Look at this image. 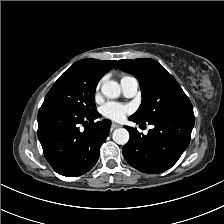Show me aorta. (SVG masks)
I'll return each instance as SVG.
<instances>
[{"instance_id":"aorta-1","label":"aorta","mask_w":224,"mask_h":224,"mask_svg":"<svg viewBox=\"0 0 224 224\" xmlns=\"http://www.w3.org/2000/svg\"><path fill=\"white\" fill-rule=\"evenodd\" d=\"M101 91L109 99L117 98L121 94V88L115 81H105ZM129 137V132L125 128L115 129L112 134L113 141L119 145H125L129 141Z\"/></svg>"}]
</instances>
